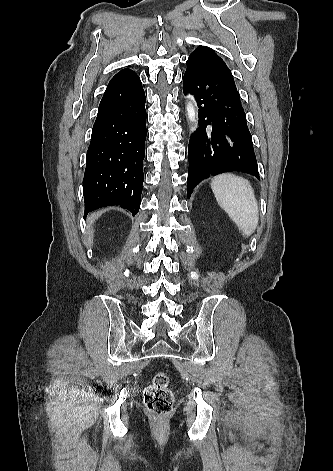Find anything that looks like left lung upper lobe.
<instances>
[{
	"instance_id": "5c2ea615",
	"label": "left lung upper lobe",
	"mask_w": 333,
	"mask_h": 471,
	"mask_svg": "<svg viewBox=\"0 0 333 471\" xmlns=\"http://www.w3.org/2000/svg\"><path fill=\"white\" fill-rule=\"evenodd\" d=\"M194 52H201L209 55L213 60H215L219 64L221 68H223L228 73L230 78L234 81L233 75L231 74V71L229 70L225 62L212 49L205 46H199Z\"/></svg>"
}]
</instances>
